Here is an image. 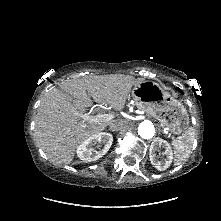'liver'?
<instances>
[{"instance_id":"liver-1","label":"liver","mask_w":221,"mask_h":221,"mask_svg":"<svg viewBox=\"0 0 221 221\" xmlns=\"http://www.w3.org/2000/svg\"><path fill=\"white\" fill-rule=\"evenodd\" d=\"M144 81L124 74L87 76L70 80L47 92L38 109L35 137L48 158L57 164L72 162L78 145L116 121H83L81 116L97 103L122 110L132 86ZM87 91L89 95L87 94Z\"/></svg>"}]
</instances>
